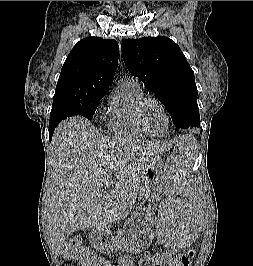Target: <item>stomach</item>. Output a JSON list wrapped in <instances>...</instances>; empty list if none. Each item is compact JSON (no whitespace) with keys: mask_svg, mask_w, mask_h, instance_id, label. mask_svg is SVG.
<instances>
[{"mask_svg":"<svg viewBox=\"0 0 253 266\" xmlns=\"http://www.w3.org/2000/svg\"><path fill=\"white\" fill-rule=\"evenodd\" d=\"M162 160L157 157L147 167L139 191V202L135 211L125 221L115 238L106 236L97 247L104 251L118 248L127 253H141L152 243L155 205L153 197L161 189Z\"/></svg>","mask_w":253,"mask_h":266,"instance_id":"stomach-1","label":"stomach"}]
</instances>
